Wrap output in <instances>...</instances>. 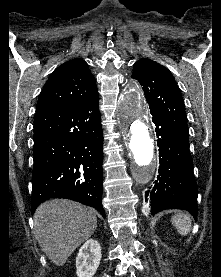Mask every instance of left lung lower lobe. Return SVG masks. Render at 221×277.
I'll return each mask as SVG.
<instances>
[{
    "label": "left lung lower lobe",
    "instance_id": "obj_1",
    "mask_svg": "<svg viewBox=\"0 0 221 277\" xmlns=\"http://www.w3.org/2000/svg\"><path fill=\"white\" fill-rule=\"evenodd\" d=\"M159 147L157 181L145 198L155 214L163 209H183L197 219V185L192 172L188 138L182 136L158 114L151 112Z\"/></svg>",
    "mask_w": 221,
    "mask_h": 277
}]
</instances>
